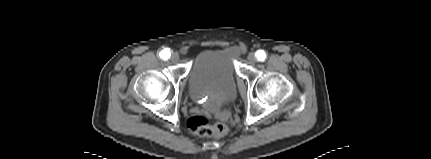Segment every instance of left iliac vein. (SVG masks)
Returning <instances> with one entry per match:
<instances>
[{
    "label": "left iliac vein",
    "instance_id": "4c4485c4",
    "mask_svg": "<svg viewBox=\"0 0 431 159\" xmlns=\"http://www.w3.org/2000/svg\"><path fill=\"white\" fill-rule=\"evenodd\" d=\"M247 59L251 64H254L257 61L256 55L254 53H249Z\"/></svg>",
    "mask_w": 431,
    "mask_h": 159
}]
</instances>
